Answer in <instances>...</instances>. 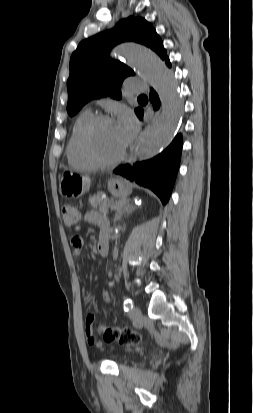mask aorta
Masks as SVG:
<instances>
[{
    "mask_svg": "<svg viewBox=\"0 0 253 413\" xmlns=\"http://www.w3.org/2000/svg\"><path fill=\"white\" fill-rule=\"evenodd\" d=\"M126 64L138 70L157 91L162 112L137 143L138 160H148L173 140L183 115L184 103L178 85L163 61L150 49L136 43H123L115 49Z\"/></svg>",
    "mask_w": 253,
    "mask_h": 413,
    "instance_id": "obj_1",
    "label": "aorta"
}]
</instances>
